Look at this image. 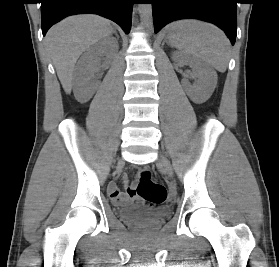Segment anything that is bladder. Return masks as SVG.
Segmentation results:
<instances>
[{
  "instance_id": "bladder-1",
  "label": "bladder",
  "mask_w": 279,
  "mask_h": 267,
  "mask_svg": "<svg viewBox=\"0 0 279 267\" xmlns=\"http://www.w3.org/2000/svg\"><path fill=\"white\" fill-rule=\"evenodd\" d=\"M122 216L129 222L135 224H155L163 220L167 215L165 213H160L151 217L146 216L144 213L135 211L132 209H123L121 211Z\"/></svg>"
}]
</instances>
